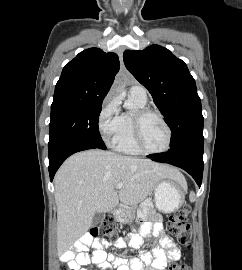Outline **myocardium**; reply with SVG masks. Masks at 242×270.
Instances as JSON below:
<instances>
[{
    "instance_id": "f54148a6",
    "label": "myocardium",
    "mask_w": 242,
    "mask_h": 270,
    "mask_svg": "<svg viewBox=\"0 0 242 270\" xmlns=\"http://www.w3.org/2000/svg\"><path fill=\"white\" fill-rule=\"evenodd\" d=\"M151 116L157 117L162 122L167 132V142H166L165 147L161 150H150L145 146L143 142L144 122L147 118ZM133 136H134L135 145L139 149V151L145 154H149V155H158V154H163L169 151L172 145V138H173L172 129L170 125L168 124V122L166 121V119L164 118V116L157 110L148 109V108L139 109L134 113Z\"/></svg>"
}]
</instances>
